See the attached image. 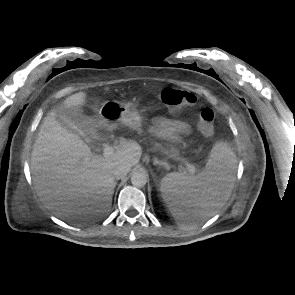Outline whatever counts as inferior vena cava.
I'll use <instances>...</instances> for the list:
<instances>
[{
    "label": "inferior vena cava",
    "instance_id": "inferior-vena-cava-1",
    "mask_svg": "<svg viewBox=\"0 0 295 295\" xmlns=\"http://www.w3.org/2000/svg\"><path fill=\"white\" fill-rule=\"evenodd\" d=\"M130 171V166L127 164H118L113 170V175L115 178L119 179L127 175Z\"/></svg>",
    "mask_w": 295,
    "mask_h": 295
}]
</instances>
